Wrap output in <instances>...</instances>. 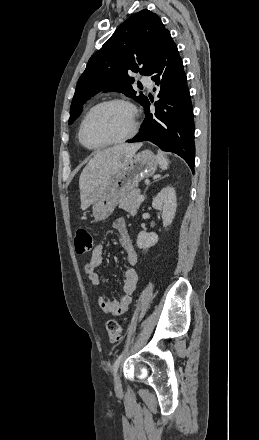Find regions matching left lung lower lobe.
Returning <instances> with one entry per match:
<instances>
[{
    "label": "left lung lower lobe",
    "instance_id": "0a47b994",
    "mask_svg": "<svg viewBox=\"0 0 259 440\" xmlns=\"http://www.w3.org/2000/svg\"><path fill=\"white\" fill-rule=\"evenodd\" d=\"M147 76L158 86L155 114L149 113V100L145 103L146 118L140 132L132 142L150 141L161 150L181 156L194 172L195 145L194 119L187 78L177 46L169 34Z\"/></svg>",
    "mask_w": 259,
    "mask_h": 440
}]
</instances>
